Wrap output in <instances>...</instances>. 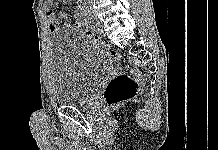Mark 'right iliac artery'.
<instances>
[{"mask_svg": "<svg viewBox=\"0 0 218 150\" xmlns=\"http://www.w3.org/2000/svg\"><path fill=\"white\" fill-rule=\"evenodd\" d=\"M78 16L86 25L93 26V21L84 13V7L81 8V11L80 13H78Z\"/></svg>", "mask_w": 218, "mask_h": 150, "instance_id": "82829eb1", "label": "right iliac artery"}]
</instances>
